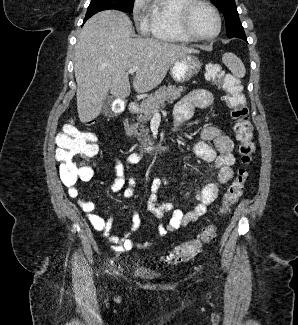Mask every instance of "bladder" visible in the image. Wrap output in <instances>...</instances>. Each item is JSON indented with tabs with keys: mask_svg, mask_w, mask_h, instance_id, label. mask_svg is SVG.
Listing matches in <instances>:
<instances>
[{
	"mask_svg": "<svg viewBox=\"0 0 298 325\" xmlns=\"http://www.w3.org/2000/svg\"><path fill=\"white\" fill-rule=\"evenodd\" d=\"M132 274L136 278L142 280H156L161 278L162 274L154 269H151L140 263H135L132 266Z\"/></svg>",
	"mask_w": 298,
	"mask_h": 325,
	"instance_id": "31cf9c89",
	"label": "bladder"
}]
</instances>
